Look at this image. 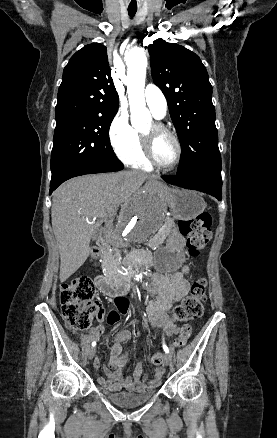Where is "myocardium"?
<instances>
[{
	"instance_id": "myocardium-1",
	"label": "myocardium",
	"mask_w": 277,
	"mask_h": 438,
	"mask_svg": "<svg viewBox=\"0 0 277 438\" xmlns=\"http://www.w3.org/2000/svg\"><path fill=\"white\" fill-rule=\"evenodd\" d=\"M151 124H152L151 133H149V134L141 133L140 134L144 153H145L147 159L149 160V162L152 165H154L155 167H157L159 169H163V170H171V169L175 168L181 160L182 151H183L181 141H180L178 135L174 131H172L171 129L166 127L164 124L157 122V121H154ZM161 134L171 137L176 144V148H177L176 158H175L174 162L170 165H165V164L161 163L158 160L156 153H155L156 136L161 135Z\"/></svg>"
}]
</instances>
